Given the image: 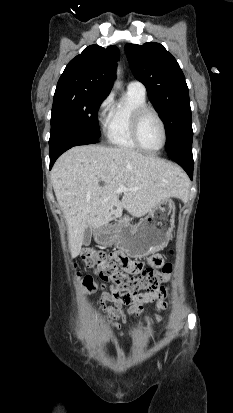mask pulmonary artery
<instances>
[{"mask_svg":"<svg viewBox=\"0 0 233 413\" xmlns=\"http://www.w3.org/2000/svg\"><path fill=\"white\" fill-rule=\"evenodd\" d=\"M127 88L129 90L137 91V92H140V93H146L145 86L137 80L130 81L128 83Z\"/></svg>","mask_w":233,"mask_h":413,"instance_id":"obj_1","label":"pulmonary artery"}]
</instances>
